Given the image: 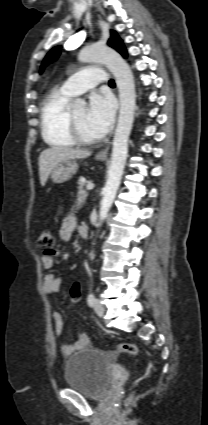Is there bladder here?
Returning a JSON list of instances; mask_svg holds the SVG:
<instances>
[{"mask_svg": "<svg viewBox=\"0 0 208 425\" xmlns=\"http://www.w3.org/2000/svg\"><path fill=\"white\" fill-rule=\"evenodd\" d=\"M113 363L114 356L109 351L91 347L76 351L67 360L65 384L86 397L101 398L111 385Z\"/></svg>", "mask_w": 208, "mask_h": 425, "instance_id": "31cf9c89", "label": "bladder"}]
</instances>
